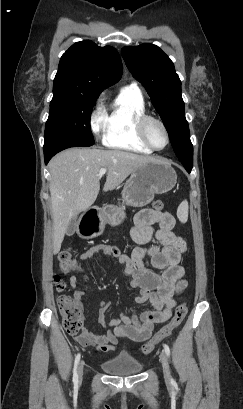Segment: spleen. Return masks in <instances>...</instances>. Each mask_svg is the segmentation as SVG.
Here are the masks:
<instances>
[{
	"label": "spleen",
	"mask_w": 243,
	"mask_h": 409,
	"mask_svg": "<svg viewBox=\"0 0 243 409\" xmlns=\"http://www.w3.org/2000/svg\"><path fill=\"white\" fill-rule=\"evenodd\" d=\"M177 217L182 222L185 223L188 220V202L184 200L180 203L177 209Z\"/></svg>",
	"instance_id": "3e777b00"
}]
</instances>
